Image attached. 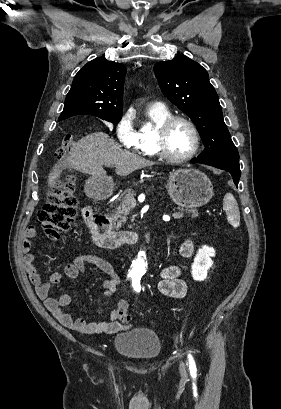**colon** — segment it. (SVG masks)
<instances>
[{"label": "colon", "mask_w": 281, "mask_h": 409, "mask_svg": "<svg viewBox=\"0 0 281 409\" xmlns=\"http://www.w3.org/2000/svg\"><path fill=\"white\" fill-rule=\"evenodd\" d=\"M75 148L74 135L68 134L58 152L59 159L65 160ZM75 188V177L67 175L55 181L47 205L38 212L37 222L43 231L50 237L60 236L69 230L73 224L77 200L72 195ZM128 308L121 306L117 315L122 320H128Z\"/></svg>", "instance_id": "obj_1"}]
</instances>
